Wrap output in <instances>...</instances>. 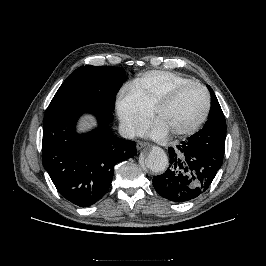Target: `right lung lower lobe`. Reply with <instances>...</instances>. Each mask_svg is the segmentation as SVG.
Segmentation results:
<instances>
[{
  "mask_svg": "<svg viewBox=\"0 0 266 266\" xmlns=\"http://www.w3.org/2000/svg\"><path fill=\"white\" fill-rule=\"evenodd\" d=\"M94 114L97 129L78 135L75 123L82 113ZM112 111L71 101H51L43 122L42 162L58 192L87 207L110 187L114 166L136 154V143L116 137L109 129Z\"/></svg>",
  "mask_w": 266,
  "mask_h": 266,
  "instance_id": "obj_1",
  "label": "right lung lower lobe"
}]
</instances>
